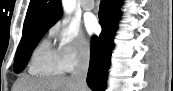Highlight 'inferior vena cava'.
<instances>
[{"instance_id":"inferior-vena-cava-1","label":"inferior vena cava","mask_w":173,"mask_h":91,"mask_svg":"<svg viewBox=\"0 0 173 91\" xmlns=\"http://www.w3.org/2000/svg\"><path fill=\"white\" fill-rule=\"evenodd\" d=\"M90 60V48L88 45L81 48L78 62L72 72L71 78L75 80L80 91L87 90L86 77Z\"/></svg>"}]
</instances>
